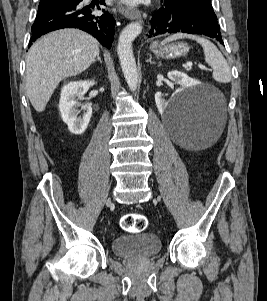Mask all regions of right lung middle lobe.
<instances>
[{
    "mask_svg": "<svg viewBox=\"0 0 267 301\" xmlns=\"http://www.w3.org/2000/svg\"><path fill=\"white\" fill-rule=\"evenodd\" d=\"M63 2H65V1H60V0H41V2L39 4V10L38 11L49 9V8L54 7V6H56L58 4H61Z\"/></svg>",
    "mask_w": 267,
    "mask_h": 301,
    "instance_id": "1",
    "label": "right lung middle lobe"
}]
</instances>
